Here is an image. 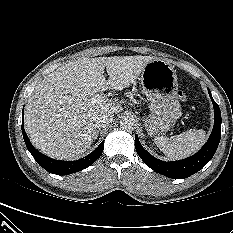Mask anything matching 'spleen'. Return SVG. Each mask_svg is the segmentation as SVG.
Here are the masks:
<instances>
[{
	"label": "spleen",
	"instance_id": "3e777b00",
	"mask_svg": "<svg viewBox=\"0 0 233 233\" xmlns=\"http://www.w3.org/2000/svg\"><path fill=\"white\" fill-rule=\"evenodd\" d=\"M206 137L204 130L190 129L172 137L156 136L154 143L169 159H182L199 150Z\"/></svg>",
	"mask_w": 233,
	"mask_h": 233
}]
</instances>
